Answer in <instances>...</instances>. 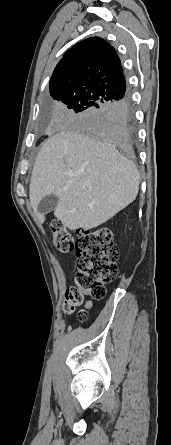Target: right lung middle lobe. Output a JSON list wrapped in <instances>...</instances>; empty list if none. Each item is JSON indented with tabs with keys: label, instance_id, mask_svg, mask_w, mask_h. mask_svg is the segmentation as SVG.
I'll return each instance as SVG.
<instances>
[{
	"label": "right lung middle lobe",
	"instance_id": "right-lung-middle-lobe-1",
	"mask_svg": "<svg viewBox=\"0 0 171 445\" xmlns=\"http://www.w3.org/2000/svg\"><path fill=\"white\" fill-rule=\"evenodd\" d=\"M53 99L58 101V112L62 119L87 127L93 135L101 137L97 127V116L107 101L89 91H64Z\"/></svg>",
	"mask_w": 171,
	"mask_h": 445
}]
</instances>
